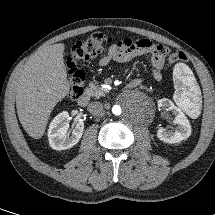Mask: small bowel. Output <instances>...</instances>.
<instances>
[{"label": "small bowel", "mask_w": 215, "mask_h": 215, "mask_svg": "<svg viewBox=\"0 0 215 215\" xmlns=\"http://www.w3.org/2000/svg\"><path fill=\"white\" fill-rule=\"evenodd\" d=\"M107 53L98 61L99 67H105L110 62L126 63L133 58L149 55L153 66L152 77L154 81L161 82L163 79L162 70L165 63L164 48L154 44L149 39L132 40L125 38L114 41L112 38L109 42Z\"/></svg>", "instance_id": "1"}]
</instances>
